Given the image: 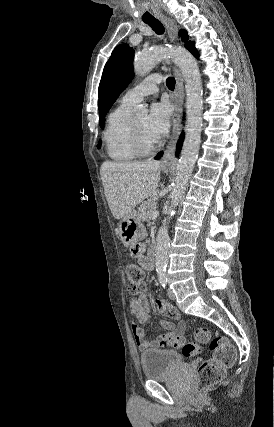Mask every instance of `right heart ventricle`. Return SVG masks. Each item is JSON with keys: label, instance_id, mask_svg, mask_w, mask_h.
<instances>
[{"label": "right heart ventricle", "instance_id": "e07e8e85", "mask_svg": "<svg viewBox=\"0 0 274 427\" xmlns=\"http://www.w3.org/2000/svg\"><path fill=\"white\" fill-rule=\"evenodd\" d=\"M130 106L118 105L109 119V126L104 133L107 156L116 162L128 163L138 159L131 144L132 119Z\"/></svg>", "mask_w": 274, "mask_h": 427}]
</instances>
